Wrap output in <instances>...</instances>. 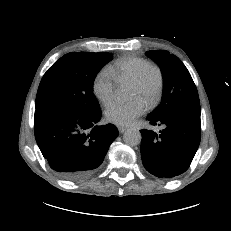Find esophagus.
I'll list each match as a JSON object with an SVG mask.
<instances>
[{
    "label": "esophagus",
    "instance_id": "34e87169",
    "mask_svg": "<svg viewBox=\"0 0 231 231\" xmlns=\"http://www.w3.org/2000/svg\"><path fill=\"white\" fill-rule=\"evenodd\" d=\"M128 128L125 126H118L119 133H124Z\"/></svg>",
    "mask_w": 231,
    "mask_h": 231
}]
</instances>
